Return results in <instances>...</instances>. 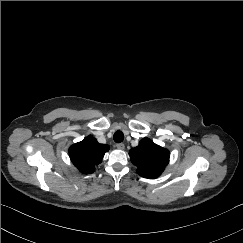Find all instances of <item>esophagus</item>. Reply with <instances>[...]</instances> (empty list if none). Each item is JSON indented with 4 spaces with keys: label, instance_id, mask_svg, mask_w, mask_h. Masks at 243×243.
Instances as JSON below:
<instances>
[{
    "label": "esophagus",
    "instance_id": "obj_1",
    "mask_svg": "<svg viewBox=\"0 0 243 243\" xmlns=\"http://www.w3.org/2000/svg\"><path fill=\"white\" fill-rule=\"evenodd\" d=\"M116 147L120 150H124L125 149V145L123 143H118L116 144Z\"/></svg>",
    "mask_w": 243,
    "mask_h": 243
}]
</instances>
